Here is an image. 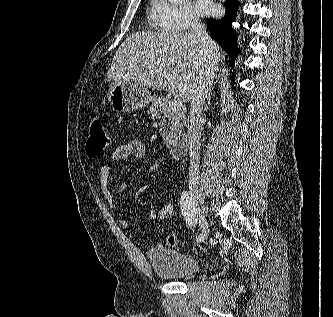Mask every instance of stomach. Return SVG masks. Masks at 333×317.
<instances>
[{"mask_svg": "<svg viewBox=\"0 0 333 317\" xmlns=\"http://www.w3.org/2000/svg\"><path fill=\"white\" fill-rule=\"evenodd\" d=\"M108 100L113 110L128 112L145 108L152 101V96L145 86L124 78L111 83Z\"/></svg>", "mask_w": 333, "mask_h": 317, "instance_id": "1", "label": "stomach"}]
</instances>
